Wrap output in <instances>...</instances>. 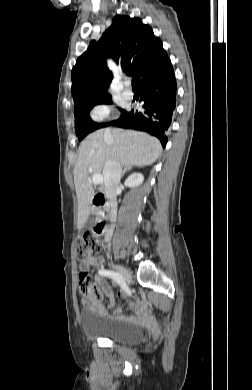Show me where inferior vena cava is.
Wrapping results in <instances>:
<instances>
[{
  "mask_svg": "<svg viewBox=\"0 0 252 390\" xmlns=\"http://www.w3.org/2000/svg\"><path fill=\"white\" fill-rule=\"evenodd\" d=\"M121 176L122 165L116 160H107L103 168L105 196L107 198V206L113 213L116 210V197L119 190ZM111 235L112 230H107L105 233L106 242L110 241Z\"/></svg>",
  "mask_w": 252,
  "mask_h": 390,
  "instance_id": "1",
  "label": "inferior vena cava"
}]
</instances>
